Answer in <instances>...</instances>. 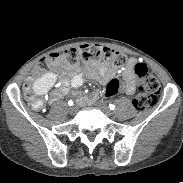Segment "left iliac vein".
<instances>
[{
    "label": "left iliac vein",
    "instance_id": "1",
    "mask_svg": "<svg viewBox=\"0 0 183 183\" xmlns=\"http://www.w3.org/2000/svg\"><path fill=\"white\" fill-rule=\"evenodd\" d=\"M99 109L107 116H111L112 112L111 110L105 105V104H98Z\"/></svg>",
    "mask_w": 183,
    "mask_h": 183
}]
</instances>
